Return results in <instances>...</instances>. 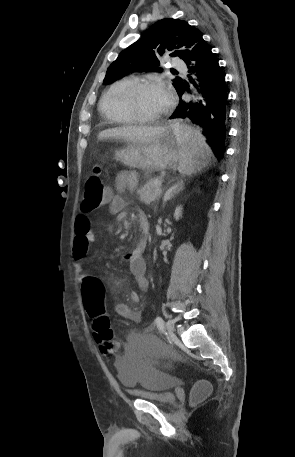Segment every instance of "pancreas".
<instances>
[{
    "mask_svg": "<svg viewBox=\"0 0 295 457\" xmlns=\"http://www.w3.org/2000/svg\"><path fill=\"white\" fill-rule=\"evenodd\" d=\"M155 181H161L160 178L151 179L143 187L137 190V194L140 196V201L145 204H150L154 202L161 196L160 186L155 185Z\"/></svg>",
    "mask_w": 295,
    "mask_h": 457,
    "instance_id": "pancreas-1",
    "label": "pancreas"
}]
</instances>
